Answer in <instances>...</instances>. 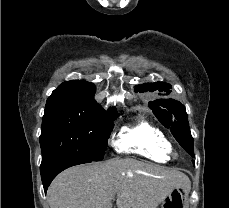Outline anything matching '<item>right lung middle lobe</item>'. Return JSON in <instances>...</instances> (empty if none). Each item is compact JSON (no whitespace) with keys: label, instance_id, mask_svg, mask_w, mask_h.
<instances>
[{"label":"right lung middle lobe","instance_id":"obj_1","mask_svg":"<svg viewBox=\"0 0 229 208\" xmlns=\"http://www.w3.org/2000/svg\"><path fill=\"white\" fill-rule=\"evenodd\" d=\"M111 121L92 117L73 107L46 106L39 138L40 169L62 157L102 160L114 126Z\"/></svg>","mask_w":229,"mask_h":208}]
</instances>
